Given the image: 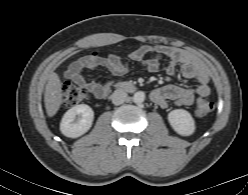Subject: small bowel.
<instances>
[{"label":"small bowel","mask_w":248,"mask_h":195,"mask_svg":"<svg viewBox=\"0 0 248 195\" xmlns=\"http://www.w3.org/2000/svg\"><path fill=\"white\" fill-rule=\"evenodd\" d=\"M153 52L167 56L168 60L162 67L166 74L173 76L176 67L180 65L181 73L185 78L197 81V86L194 88L167 84L154 89L151 92V98L155 103L161 107L168 106L169 102L177 105H191L196 96L209 95L211 91L210 72L200 60L189 52L166 46L144 45L133 50L130 53V59L140 64L146 71L155 73L160 69L159 62L155 59H146V56ZM97 67H105L112 76L124 75L132 69L130 63L120 60L113 54L104 59L93 54L72 63L65 76L75 84L88 89L96 98H103L109 91L110 82L86 80L82 74L83 71L94 70Z\"/></svg>","instance_id":"obj_1"}]
</instances>
